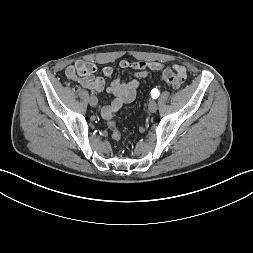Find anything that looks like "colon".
<instances>
[{"label": "colon", "mask_w": 253, "mask_h": 253, "mask_svg": "<svg viewBox=\"0 0 253 253\" xmlns=\"http://www.w3.org/2000/svg\"><path fill=\"white\" fill-rule=\"evenodd\" d=\"M161 78L173 88L181 87L186 81V75L183 71L176 68H166L161 72ZM107 125L111 130V136L114 140L121 138V133L114 120L109 119Z\"/></svg>", "instance_id": "colon-1"}]
</instances>
